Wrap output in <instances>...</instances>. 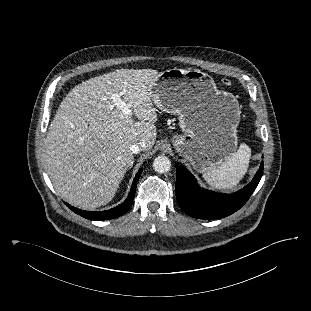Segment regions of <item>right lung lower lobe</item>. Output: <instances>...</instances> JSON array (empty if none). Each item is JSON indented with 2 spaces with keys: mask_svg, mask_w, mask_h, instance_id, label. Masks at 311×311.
Masks as SVG:
<instances>
[{
  "mask_svg": "<svg viewBox=\"0 0 311 311\" xmlns=\"http://www.w3.org/2000/svg\"><path fill=\"white\" fill-rule=\"evenodd\" d=\"M142 173V168L137 172L133 184H132V188L131 191L127 197V199L119 206L110 209V210H106V211H83L81 209H77L67 203H65L73 212L77 213L78 215L89 219V220H97V221H102V220H108V219H113L116 217H119L123 214H125L129 208L132 205L133 199H134V195H135V190H136V185L137 182L139 180V177Z\"/></svg>",
  "mask_w": 311,
  "mask_h": 311,
  "instance_id": "right-lung-lower-lobe-1",
  "label": "right lung lower lobe"
}]
</instances>
